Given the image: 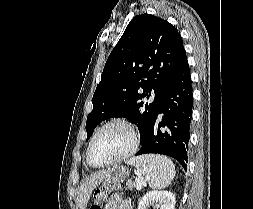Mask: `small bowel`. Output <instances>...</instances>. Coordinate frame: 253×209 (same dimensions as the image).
I'll return each mask as SVG.
<instances>
[{
  "instance_id": "obj_1",
  "label": "small bowel",
  "mask_w": 253,
  "mask_h": 209,
  "mask_svg": "<svg viewBox=\"0 0 253 209\" xmlns=\"http://www.w3.org/2000/svg\"><path fill=\"white\" fill-rule=\"evenodd\" d=\"M104 209H130L128 201L121 195L114 194L110 197Z\"/></svg>"
}]
</instances>
